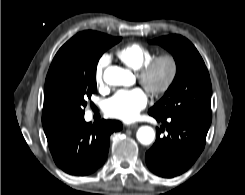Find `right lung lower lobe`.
I'll use <instances>...</instances> for the list:
<instances>
[{
    "label": "right lung lower lobe",
    "instance_id": "obj_1",
    "mask_svg": "<svg viewBox=\"0 0 245 195\" xmlns=\"http://www.w3.org/2000/svg\"><path fill=\"white\" fill-rule=\"evenodd\" d=\"M121 129L119 121L101 120L94 126L83 116L46 137L56 165L68 174L84 176L104 163L110 135Z\"/></svg>",
    "mask_w": 245,
    "mask_h": 195
}]
</instances>
